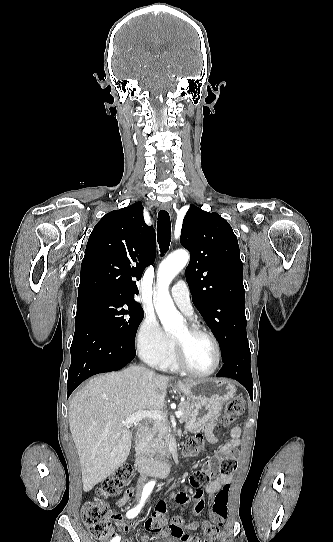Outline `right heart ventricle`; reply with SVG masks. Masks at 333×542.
I'll return each mask as SVG.
<instances>
[{"label":"right heart ventricle","mask_w":333,"mask_h":542,"mask_svg":"<svg viewBox=\"0 0 333 542\" xmlns=\"http://www.w3.org/2000/svg\"><path fill=\"white\" fill-rule=\"evenodd\" d=\"M147 361L162 370H176L178 368L171 356L170 348L159 355L147 358Z\"/></svg>","instance_id":"1"}]
</instances>
